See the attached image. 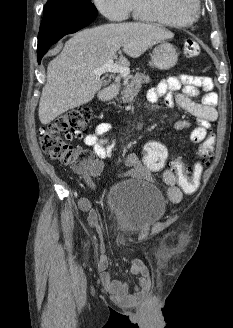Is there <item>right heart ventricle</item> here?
<instances>
[{
  "mask_svg": "<svg viewBox=\"0 0 233 328\" xmlns=\"http://www.w3.org/2000/svg\"><path fill=\"white\" fill-rule=\"evenodd\" d=\"M131 13L133 18L139 21L158 23L175 28L190 25L176 17L170 11L160 7L156 0H132Z\"/></svg>",
  "mask_w": 233,
  "mask_h": 328,
  "instance_id": "right-heart-ventricle-1",
  "label": "right heart ventricle"
}]
</instances>
